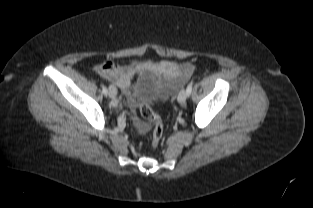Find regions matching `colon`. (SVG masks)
I'll return each instance as SVG.
<instances>
[{
    "mask_svg": "<svg viewBox=\"0 0 313 208\" xmlns=\"http://www.w3.org/2000/svg\"><path fill=\"white\" fill-rule=\"evenodd\" d=\"M140 115L153 124L151 144L153 148L158 147L163 137V124L160 116L146 103L139 105Z\"/></svg>",
    "mask_w": 313,
    "mask_h": 208,
    "instance_id": "obj_1",
    "label": "colon"
}]
</instances>
